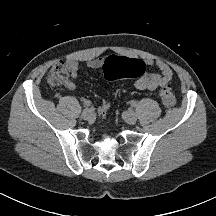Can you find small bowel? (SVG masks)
<instances>
[{"label":"small bowel","mask_w":216,"mask_h":216,"mask_svg":"<svg viewBox=\"0 0 216 216\" xmlns=\"http://www.w3.org/2000/svg\"><path fill=\"white\" fill-rule=\"evenodd\" d=\"M145 66H156L158 72H146L134 81V87L137 90L155 91L159 87L169 86L174 79V73L171 67L160 59H143L141 60ZM105 64L104 58H94L87 61L86 65L89 69H99ZM67 72L70 75L69 80L64 83L65 88L70 91L76 89L73 80L78 77V63L73 59H69L64 63Z\"/></svg>","instance_id":"obj_1"}]
</instances>
